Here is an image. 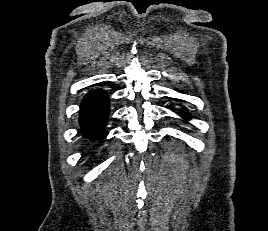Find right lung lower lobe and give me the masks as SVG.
Masks as SVG:
<instances>
[{"mask_svg": "<svg viewBox=\"0 0 268 231\" xmlns=\"http://www.w3.org/2000/svg\"><path fill=\"white\" fill-rule=\"evenodd\" d=\"M109 111V99L106 92L92 90L86 94L79 111L81 134L90 140H102L105 136V124Z\"/></svg>", "mask_w": 268, "mask_h": 231, "instance_id": "obj_1", "label": "right lung lower lobe"}]
</instances>
